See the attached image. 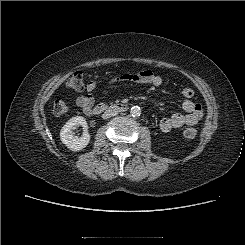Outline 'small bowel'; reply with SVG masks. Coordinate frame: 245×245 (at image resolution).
<instances>
[{
  "instance_id": "c3829d8e",
  "label": "small bowel",
  "mask_w": 245,
  "mask_h": 245,
  "mask_svg": "<svg viewBox=\"0 0 245 245\" xmlns=\"http://www.w3.org/2000/svg\"><path fill=\"white\" fill-rule=\"evenodd\" d=\"M115 80L132 81L140 84H151L155 87H160L163 79L160 75L150 71L143 70L137 73L124 74L117 77ZM96 82L89 81L86 85V90L91 92L95 89ZM94 97L91 94L82 95L77 99V105L86 113L89 114L90 109L94 105ZM184 113H175L168 117H164L160 121V129L163 132H169L172 129L182 127L184 125H195L203 116V107L199 103H195L190 98H186L182 103Z\"/></svg>"
}]
</instances>
